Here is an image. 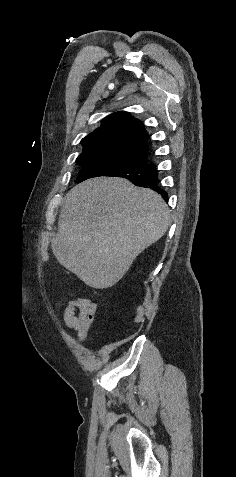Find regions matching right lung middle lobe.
<instances>
[{
	"label": "right lung middle lobe",
	"instance_id": "obj_1",
	"mask_svg": "<svg viewBox=\"0 0 236 477\" xmlns=\"http://www.w3.org/2000/svg\"><path fill=\"white\" fill-rule=\"evenodd\" d=\"M143 160V157H135L132 159L134 162H140ZM78 164L82 167L79 171L76 182L84 181L91 177L97 176H109L121 168H125L123 164L111 162L107 160H82L77 161Z\"/></svg>",
	"mask_w": 236,
	"mask_h": 477
}]
</instances>
